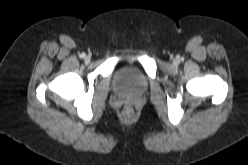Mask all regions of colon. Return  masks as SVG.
I'll return each mask as SVG.
<instances>
[{
	"label": "colon",
	"mask_w": 248,
	"mask_h": 165,
	"mask_svg": "<svg viewBox=\"0 0 248 165\" xmlns=\"http://www.w3.org/2000/svg\"><path fill=\"white\" fill-rule=\"evenodd\" d=\"M125 114L128 116V117H131L132 116V110H131V108H126V110H125Z\"/></svg>",
	"instance_id": "obj_1"
}]
</instances>
